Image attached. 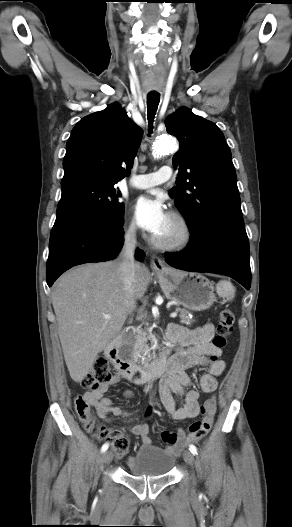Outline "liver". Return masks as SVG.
<instances>
[{
	"label": "liver",
	"mask_w": 292,
	"mask_h": 527,
	"mask_svg": "<svg viewBox=\"0 0 292 527\" xmlns=\"http://www.w3.org/2000/svg\"><path fill=\"white\" fill-rule=\"evenodd\" d=\"M135 265L133 299L137 300L147 290L149 273L139 263ZM52 305L69 374L81 382L131 311L120 261L86 264L68 271L54 284ZM105 314L111 318L105 319Z\"/></svg>",
	"instance_id": "6515ba94"
}]
</instances>
